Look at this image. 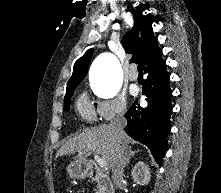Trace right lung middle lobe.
I'll use <instances>...</instances> for the list:
<instances>
[{
	"mask_svg": "<svg viewBox=\"0 0 221 193\" xmlns=\"http://www.w3.org/2000/svg\"><path fill=\"white\" fill-rule=\"evenodd\" d=\"M76 87H77V85L67 87V91H66V95H65V99H64V108L66 110H69V108H70V98H71V95L73 94Z\"/></svg>",
	"mask_w": 221,
	"mask_h": 193,
	"instance_id": "right-lung-middle-lobe-1",
	"label": "right lung middle lobe"
}]
</instances>
